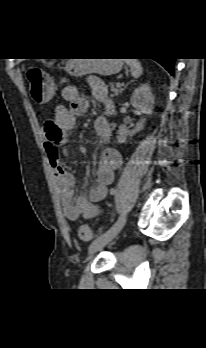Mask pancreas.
Here are the masks:
<instances>
[{
	"mask_svg": "<svg viewBox=\"0 0 206 348\" xmlns=\"http://www.w3.org/2000/svg\"><path fill=\"white\" fill-rule=\"evenodd\" d=\"M111 91L113 96H118L122 92V87H114L113 84H110Z\"/></svg>",
	"mask_w": 206,
	"mask_h": 348,
	"instance_id": "pancreas-1",
	"label": "pancreas"
}]
</instances>
